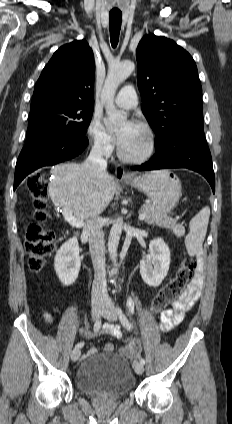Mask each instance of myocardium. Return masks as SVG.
<instances>
[{"mask_svg":"<svg viewBox=\"0 0 232 424\" xmlns=\"http://www.w3.org/2000/svg\"><path fill=\"white\" fill-rule=\"evenodd\" d=\"M136 125L143 129L147 134L148 147L143 153L139 155H128L121 147H119L118 155L120 159L128 163H142L149 160L154 155L157 146L156 135L151 126L141 121L136 122Z\"/></svg>","mask_w":232,"mask_h":424,"instance_id":"1","label":"myocardium"}]
</instances>
